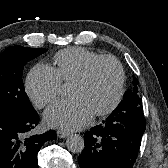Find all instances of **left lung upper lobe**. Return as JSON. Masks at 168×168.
Instances as JSON below:
<instances>
[{
  "label": "left lung upper lobe",
  "instance_id": "5c2ea615",
  "mask_svg": "<svg viewBox=\"0 0 168 168\" xmlns=\"http://www.w3.org/2000/svg\"><path fill=\"white\" fill-rule=\"evenodd\" d=\"M122 107H142V99L138 94V81L135 77H133V87L126 91L117 108Z\"/></svg>",
  "mask_w": 168,
  "mask_h": 168
}]
</instances>
